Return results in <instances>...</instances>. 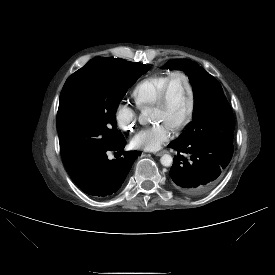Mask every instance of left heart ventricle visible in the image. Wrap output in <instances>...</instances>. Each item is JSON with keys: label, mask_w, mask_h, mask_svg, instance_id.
<instances>
[{"label": "left heart ventricle", "mask_w": 275, "mask_h": 275, "mask_svg": "<svg viewBox=\"0 0 275 275\" xmlns=\"http://www.w3.org/2000/svg\"><path fill=\"white\" fill-rule=\"evenodd\" d=\"M189 92L182 77H176L170 89L169 100L162 108H153V121L164 122L174 127L186 114Z\"/></svg>", "instance_id": "obj_1"}]
</instances>
